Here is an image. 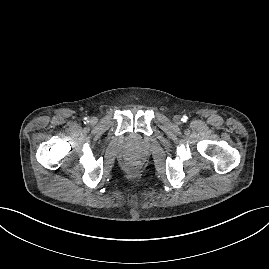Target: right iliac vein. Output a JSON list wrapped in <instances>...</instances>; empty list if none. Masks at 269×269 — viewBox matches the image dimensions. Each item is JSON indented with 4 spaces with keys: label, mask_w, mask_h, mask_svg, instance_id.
Returning <instances> with one entry per match:
<instances>
[{
    "label": "right iliac vein",
    "mask_w": 269,
    "mask_h": 269,
    "mask_svg": "<svg viewBox=\"0 0 269 269\" xmlns=\"http://www.w3.org/2000/svg\"><path fill=\"white\" fill-rule=\"evenodd\" d=\"M90 123L91 124H96L97 123V118L96 117H92L91 120H90Z\"/></svg>",
    "instance_id": "right-iliac-vein-1"
}]
</instances>
